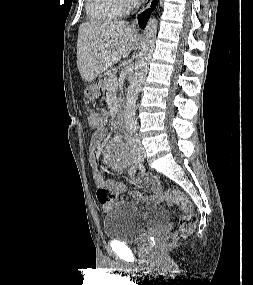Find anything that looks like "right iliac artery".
I'll use <instances>...</instances> for the list:
<instances>
[{
  "label": "right iliac artery",
  "mask_w": 253,
  "mask_h": 285,
  "mask_svg": "<svg viewBox=\"0 0 253 285\" xmlns=\"http://www.w3.org/2000/svg\"><path fill=\"white\" fill-rule=\"evenodd\" d=\"M139 165V161H137L136 159L133 162L132 167L130 168L129 174L130 176H134L137 170V166Z\"/></svg>",
  "instance_id": "right-iliac-artery-1"
}]
</instances>
